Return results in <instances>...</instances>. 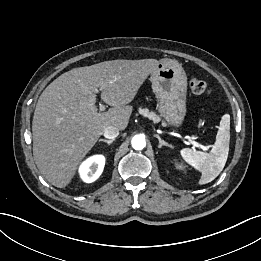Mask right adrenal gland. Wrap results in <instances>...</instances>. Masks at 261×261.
<instances>
[{
  "label": "right adrenal gland",
  "mask_w": 261,
  "mask_h": 261,
  "mask_svg": "<svg viewBox=\"0 0 261 261\" xmlns=\"http://www.w3.org/2000/svg\"><path fill=\"white\" fill-rule=\"evenodd\" d=\"M99 142H104V143H107L108 145H110L111 143L114 142V139H112V140L99 139Z\"/></svg>",
  "instance_id": "right-adrenal-gland-1"
}]
</instances>
